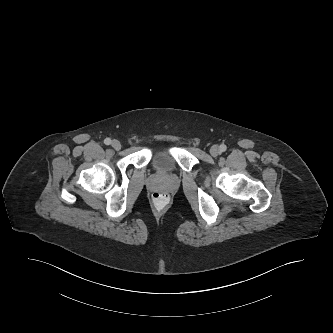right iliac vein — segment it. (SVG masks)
<instances>
[{"label": "right iliac vein", "mask_w": 333, "mask_h": 333, "mask_svg": "<svg viewBox=\"0 0 333 333\" xmlns=\"http://www.w3.org/2000/svg\"><path fill=\"white\" fill-rule=\"evenodd\" d=\"M112 147L115 150H120L121 149V143L118 140H113L112 141Z\"/></svg>", "instance_id": "63e3f726"}]
</instances>
